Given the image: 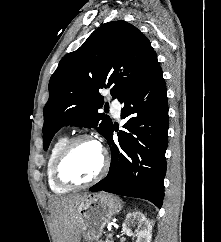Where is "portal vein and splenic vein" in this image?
<instances>
[{
  "mask_svg": "<svg viewBox=\"0 0 221 242\" xmlns=\"http://www.w3.org/2000/svg\"><path fill=\"white\" fill-rule=\"evenodd\" d=\"M108 236H109V238H111V237L113 236V234H112V233H109V235H108Z\"/></svg>",
  "mask_w": 221,
  "mask_h": 242,
  "instance_id": "portal-vein-and-splenic-vein-1",
  "label": "portal vein and splenic vein"
}]
</instances>
